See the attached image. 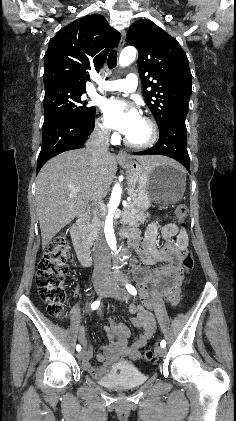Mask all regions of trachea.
<instances>
[{
  "label": "trachea",
  "mask_w": 236,
  "mask_h": 421,
  "mask_svg": "<svg viewBox=\"0 0 236 421\" xmlns=\"http://www.w3.org/2000/svg\"><path fill=\"white\" fill-rule=\"evenodd\" d=\"M117 65V51L112 50L108 55V68L113 69Z\"/></svg>",
  "instance_id": "obj_1"
}]
</instances>
